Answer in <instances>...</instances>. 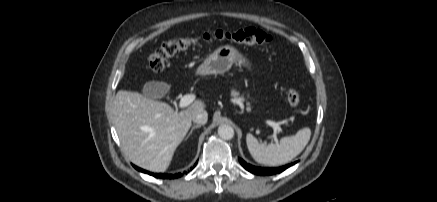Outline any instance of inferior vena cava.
<instances>
[{
    "label": "inferior vena cava",
    "mask_w": 437,
    "mask_h": 202,
    "mask_svg": "<svg viewBox=\"0 0 437 202\" xmlns=\"http://www.w3.org/2000/svg\"><path fill=\"white\" fill-rule=\"evenodd\" d=\"M192 120L199 125L206 124L207 120H208V114H207L206 110L200 109L199 111L194 113L192 115Z\"/></svg>",
    "instance_id": "1"
}]
</instances>
